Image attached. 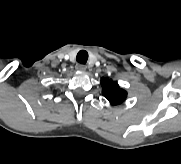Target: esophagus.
Instances as JSON below:
<instances>
[{"instance_id":"34e87169","label":"esophagus","mask_w":181,"mask_h":164,"mask_svg":"<svg viewBox=\"0 0 181 164\" xmlns=\"http://www.w3.org/2000/svg\"><path fill=\"white\" fill-rule=\"evenodd\" d=\"M76 69H78L80 71H86L87 67L85 65H82V64H77Z\"/></svg>"}]
</instances>
